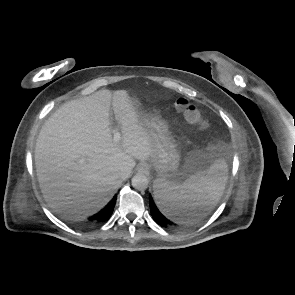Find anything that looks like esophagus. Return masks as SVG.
Instances as JSON below:
<instances>
[{
	"mask_svg": "<svg viewBox=\"0 0 295 295\" xmlns=\"http://www.w3.org/2000/svg\"><path fill=\"white\" fill-rule=\"evenodd\" d=\"M138 169H139V171H141V172H147L149 168H148V166H147L146 164L142 163V164H140V165L138 166Z\"/></svg>",
	"mask_w": 295,
	"mask_h": 295,
	"instance_id": "34e87169",
	"label": "esophagus"
}]
</instances>
